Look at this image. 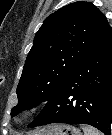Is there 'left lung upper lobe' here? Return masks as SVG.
I'll return each mask as SVG.
<instances>
[{
    "mask_svg": "<svg viewBox=\"0 0 112 135\" xmlns=\"http://www.w3.org/2000/svg\"><path fill=\"white\" fill-rule=\"evenodd\" d=\"M109 28L89 2L71 3L48 16L27 56L11 116L48 101Z\"/></svg>",
    "mask_w": 112,
    "mask_h": 135,
    "instance_id": "obj_1",
    "label": "left lung upper lobe"
}]
</instances>
